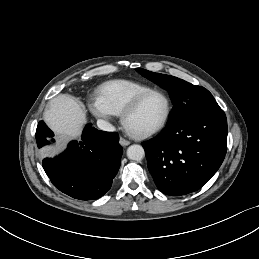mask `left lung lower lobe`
Instances as JSON below:
<instances>
[{
  "instance_id": "left-lung-lower-lobe-1",
  "label": "left lung lower lobe",
  "mask_w": 259,
  "mask_h": 259,
  "mask_svg": "<svg viewBox=\"0 0 259 259\" xmlns=\"http://www.w3.org/2000/svg\"><path fill=\"white\" fill-rule=\"evenodd\" d=\"M148 169L164 194L200 189L221 166L227 151V119L222 109L166 128L144 142Z\"/></svg>"
}]
</instances>
